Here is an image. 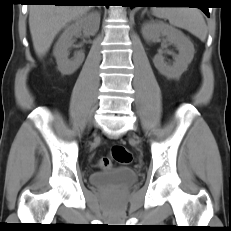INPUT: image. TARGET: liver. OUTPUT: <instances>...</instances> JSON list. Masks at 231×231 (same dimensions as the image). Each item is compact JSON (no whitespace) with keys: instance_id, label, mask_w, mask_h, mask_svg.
Returning <instances> with one entry per match:
<instances>
[{"instance_id":"1","label":"liver","mask_w":231,"mask_h":231,"mask_svg":"<svg viewBox=\"0 0 231 231\" xmlns=\"http://www.w3.org/2000/svg\"><path fill=\"white\" fill-rule=\"evenodd\" d=\"M89 10L87 5H31L29 27L36 54L44 56L59 31Z\"/></svg>"}]
</instances>
